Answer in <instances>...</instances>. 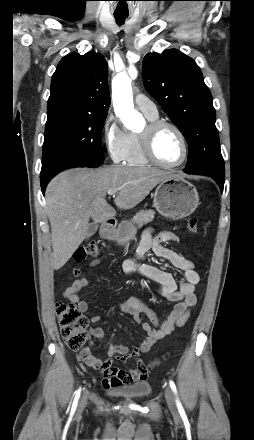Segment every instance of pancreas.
<instances>
[{"label": "pancreas", "mask_w": 254, "mask_h": 440, "mask_svg": "<svg viewBox=\"0 0 254 440\" xmlns=\"http://www.w3.org/2000/svg\"><path fill=\"white\" fill-rule=\"evenodd\" d=\"M154 210H141L136 213L131 219L130 227L132 230L136 231L137 228H141L143 225L151 222L154 219Z\"/></svg>", "instance_id": "1"}]
</instances>
